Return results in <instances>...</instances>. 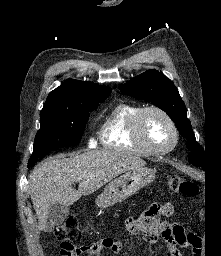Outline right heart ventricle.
<instances>
[{"label":"right heart ventricle","mask_w":221,"mask_h":256,"mask_svg":"<svg viewBox=\"0 0 221 256\" xmlns=\"http://www.w3.org/2000/svg\"><path fill=\"white\" fill-rule=\"evenodd\" d=\"M140 105L119 103L104 117L99 131L101 144L109 149L125 151L135 155L147 156L150 153L139 145L132 134Z\"/></svg>","instance_id":"e07e8e85"}]
</instances>
